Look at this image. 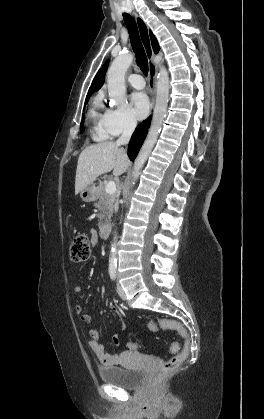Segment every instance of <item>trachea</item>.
<instances>
[{
    "label": "trachea",
    "mask_w": 264,
    "mask_h": 419,
    "mask_svg": "<svg viewBox=\"0 0 264 419\" xmlns=\"http://www.w3.org/2000/svg\"><path fill=\"white\" fill-rule=\"evenodd\" d=\"M124 22L129 32L132 49L136 55V62L144 74L148 72L147 57L142 46L137 24L135 20L127 13H123Z\"/></svg>",
    "instance_id": "1"
}]
</instances>
